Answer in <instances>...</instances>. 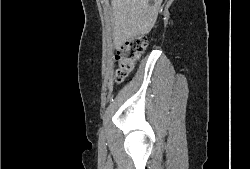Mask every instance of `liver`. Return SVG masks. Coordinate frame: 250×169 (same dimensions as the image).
<instances>
[{
    "mask_svg": "<svg viewBox=\"0 0 250 169\" xmlns=\"http://www.w3.org/2000/svg\"><path fill=\"white\" fill-rule=\"evenodd\" d=\"M162 0H111L114 20V44L143 36L153 28Z\"/></svg>",
    "mask_w": 250,
    "mask_h": 169,
    "instance_id": "1",
    "label": "liver"
}]
</instances>
